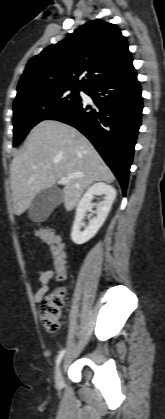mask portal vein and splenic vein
Instances as JSON below:
<instances>
[{"label": "portal vein and splenic vein", "instance_id": "1", "mask_svg": "<svg viewBox=\"0 0 165 419\" xmlns=\"http://www.w3.org/2000/svg\"><path fill=\"white\" fill-rule=\"evenodd\" d=\"M72 177L73 176H70V177H62V178H60L59 183L65 185L69 181V179H71Z\"/></svg>", "mask_w": 165, "mask_h": 419}]
</instances>
